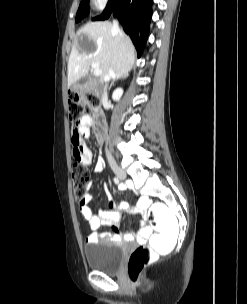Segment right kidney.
Instances as JSON below:
<instances>
[{
	"mask_svg": "<svg viewBox=\"0 0 247 304\" xmlns=\"http://www.w3.org/2000/svg\"><path fill=\"white\" fill-rule=\"evenodd\" d=\"M123 94V89L121 87L117 88L114 90L113 94H112V99L114 101H119V99L121 98Z\"/></svg>",
	"mask_w": 247,
	"mask_h": 304,
	"instance_id": "right-kidney-1",
	"label": "right kidney"
}]
</instances>
